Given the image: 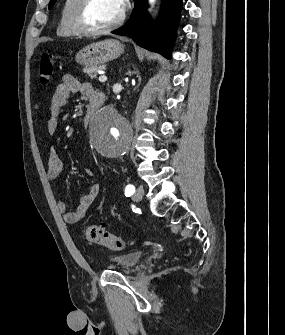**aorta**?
Returning a JSON list of instances; mask_svg holds the SVG:
<instances>
[{
	"mask_svg": "<svg viewBox=\"0 0 285 335\" xmlns=\"http://www.w3.org/2000/svg\"><path fill=\"white\" fill-rule=\"evenodd\" d=\"M154 4L155 0H149ZM121 102H128V95H111L106 105H100V112H94V119H89L86 133L92 137L91 146L98 147L99 156L114 160L129 152L133 130L126 125V119H121Z\"/></svg>",
	"mask_w": 285,
	"mask_h": 335,
	"instance_id": "1",
	"label": "aorta"
}]
</instances>
